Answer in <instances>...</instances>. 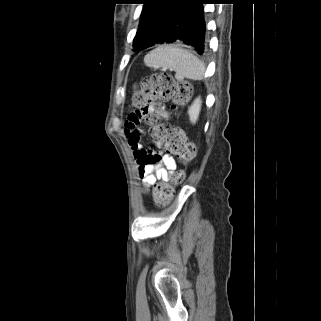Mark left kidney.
<instances>
[{
    "instance_id": "1",
    "label": "left kidney",
    "mask_w": 321,
    "mask_h": 321,
    "mask_svg": "<svg viewBox=\"0 0 321 321\" xmlns=\"http://www.w3.org/2000/svg\"><path fill=\"white\" fill-rule=\"evenodd\" d=\"M201 103H202L201 99L197 98V99H195L193 104L189 107L188 114L190 117V121L192 123H196V121L198 119V116H199V113L201 110Z\"/></svg>"
}]
</instances>
